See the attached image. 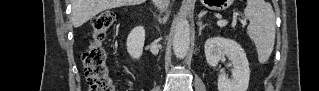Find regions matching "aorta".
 <instances>
[{"label":"aorta","mask_w":319,"mask_h":91,"mask_svg":"<svg viewBox=\"0 0 319 91\" xmlns=\"http://www.w3.org/2000/svg\"><path fill=\"white\" fill-rule=\"evenodd\" d=\"M190 46V25L185 17H181L175 27L173 50L176 58L183 59Z\"/></svg>","instance_id":"aorta-1"}]
</instances>
